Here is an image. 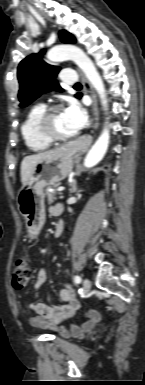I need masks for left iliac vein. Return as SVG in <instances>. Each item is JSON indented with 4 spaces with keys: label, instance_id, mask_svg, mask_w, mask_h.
<instances>
[{
    "label": "left iliac vein",
    "instance_id": "obj_1",
    "mask_svg": "<svg viewBox=\"0 0 145 385\" xmlns=\"http://www.w3.org/2000/svg\"><path fill=\"white\" fill-rule=\"evenodd\" d=\"M90 287H91L90 280L88 278H85L83 280V290H84V292L87 293L89 291Z\"/></svg>",
    "mask_w": 145,
    "mask_h": 385
}]
</instances>
